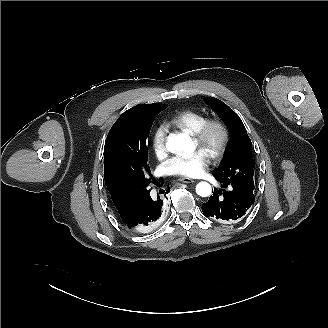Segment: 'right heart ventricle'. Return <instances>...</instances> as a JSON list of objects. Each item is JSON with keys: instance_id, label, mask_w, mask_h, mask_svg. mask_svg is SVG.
Segmentation results:
<instances>
[{"instance_id": "e07e8e85", "label": "right heart ventricle", "mask_w": 328, "mask_h": 328, "mask_svg": "<svg viewBox=\"0 0 328 328\" xmlns=\"http://www.w3.org/2000/svg\"><path fill=\"white\" fill-rule=\"evenodd\" d=\"M206 119V115L197 111H184L173 115L170 118L171 124L180 128L188 134H193L197 131L201 123Z\"/></svg>"}]
</instances>
